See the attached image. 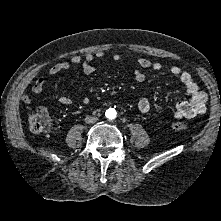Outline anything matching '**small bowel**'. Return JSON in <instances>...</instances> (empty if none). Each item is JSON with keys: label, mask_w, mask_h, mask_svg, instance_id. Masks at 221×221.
<instances>
[{"label": "small bowel", "mask_w": 221, "mask_h": 221, "mask_svg": "<svg viewBox=\"0 0 221 221\" xmlns=\"http://www.w3.org/2000/svg\"><path fill=\"white\" fill-rule=\"evenodd\" d=\"M104 57L105 55L103 52L88 53L84 57L75 55L71 57L69 61H62L51 66L49 69V74L57 75L61 72H67L70 71L73 66L81 67L85 74H92L95 71L93 61L95 59L101 60ZM113 59L114 61L119 62L122 60V56L120 54H115ZM137 64L140 68L135 69L134 78L138 82L145 80V73L143 72V69H163V65L161 63L153 62L151 59L146 57L138 58ZM169 72L172 77L179 80L185 86L190 95L188 100H182L176 103L174 116L178 119H183L193 118L204 113L206 111L207 95L203 90L200 89L197 82L193 79L191 73L178 66H171L169 68ZM44 87L45 80L43 78H38L32 83L31 92L34 94H39L43 91ZM21 99L26 104H30L32 101V98L28 93H24ZM58 101L64 105L73 104V100L69 96L62 93L59 94ZM82 102L84 103L85 100H82ZM138 108L141 112L147 113L151 110V104L147 99L143 98L139 100Z\"/></svg>", "instance_id": "1"}]
</instances>
